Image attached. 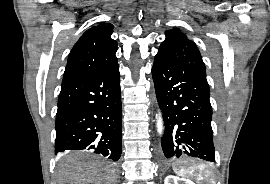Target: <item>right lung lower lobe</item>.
I'll return each mask as SVG.
<instances>
[{
    "mask_svg": "<svg viewBox=\"0 0 270 184\" xmlns=\"http://www.w3.org/2000/svg\"><path fill=\"white\" fill-rule=\"evenodd\" d=\"M121 115L118 64L64 80L56 114L55 154L86 149L118 161Z\"/></svg>",
    "mask_w": 270,
    "mask_h": 184,
    "instance_id": "1",
    "label": "right lung lower lobe"
}]
</instances>
